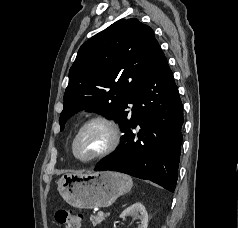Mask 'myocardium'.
Returning <instances> with one entry per match:
<instances>
[{
  "label": "myocardium",
  "mask_w": 238,
  "mask_h": 228,
  "mask_svg": "<svg viewBox=\"0 0 238 228\" xmlns=\"http://www.w3.org/2000/svg\"><path fill=\"white\" fill-rule=\"evenodd\" d=\"M96 124L102 125L103 127H105L107 129L108 134H109L108 144L98 154H96L90 158H81L76 153L77 141L86 129H88L89 127L96 125ZM119 143H120V133H119L117 124L112 119H110L106 116L95 115V116H92V117L88 118L87 120H85L79 126V128L77 129V131L73 137L72 144H71V150H72V154L76 160H78L80 162H84V163H89V162L98 161V160H101V159L107 157L118 147Z\"/></svg>",
  "instance_id": "1"
}]
</instances>
